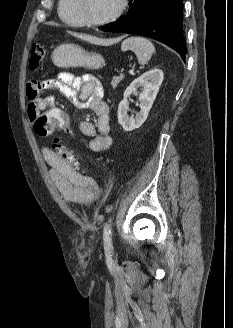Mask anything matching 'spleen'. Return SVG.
<instances>
[{"label":"spleen","mask_w":233,"mask_h":328,"mask_svg":"<svg viewBox=\"0 0 233 328\" xmlns=\"http://www.w3.org/2000/svg\"><path fill=\"white\" fill-rule=\"evenodd\" d=\"M121 50H131L137 56L138 62L141 65H146L150 61L152 55L155 53L153 43L144 37H129L121 44Z\"/></svg>","instance_id":"3e777b00"}]
</instances>
